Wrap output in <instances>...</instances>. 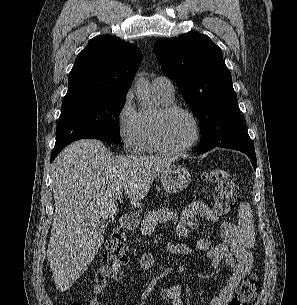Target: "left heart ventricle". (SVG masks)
<instances>
[{"mask_svg": "<svg viewBox=\"0 0 297 305\" xmlns=\"http://www.w3.org/2000/svg\"><path fill=\"white\" fill-rule=\"evenodd\" d=\"M162 137L165 143L172 148L188 144L194 136V126L188 116L174 113L162 121Z\"/></svg>", "mask_w": 297, "mask_h": 305, "instance_id": "left-heart-ventricle-1", "label": "left heart ventricle"}]
</instances>
